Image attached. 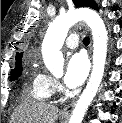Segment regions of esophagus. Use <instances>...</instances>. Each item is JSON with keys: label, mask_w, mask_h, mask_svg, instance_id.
I'll return each instance as SVG.
<instances>
[{"label": "esophagus", "mask_w": 122, "mask_h": 123, "mask_svg": "<svg viewBox=\"0 0 122 123\" xmlns=\"http://www.w3.org/2000/svg\"><path fill=\"white\" fill-rule=\"evenodd\" d=\"M74 101H72L69 105H67L66 107L63 108V110L61 111V114L63 116H68L70 115V113L72 112L73 106H74Z\"/></svg>", "instance_id": "obj_1"}]
</instances>
